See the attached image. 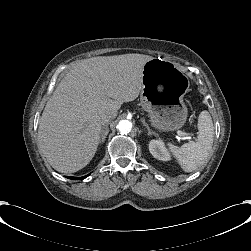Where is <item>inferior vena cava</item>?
I'll return each instance as SVG.
<instances>
[{"mask_svg":"<svg viewBox=\"0 0 251 251\" xmlns=\"http://www.w3.org/2000/svg\"><path fill=\"white\" fill-rule=\"evenodd\" d=\"M115 118V116L112 114V115H110V116H107V117H105L104 119H102V123L103 124H105V123H108V122H110L112 119H114Z\"/></svg>","mask_w":251,"mask_h":251,"instance_id":"inferior-vena-cava-1","label":"inferior vena cava"}]
</instances>
